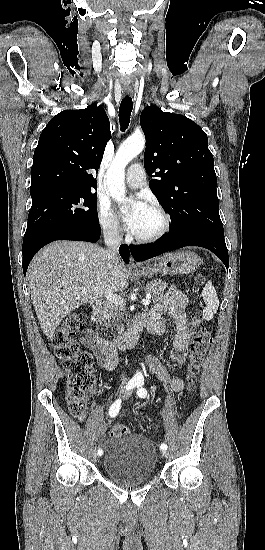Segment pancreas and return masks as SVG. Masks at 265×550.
<instances>
[{
	"mask_svg": "<svg viewBox=\"0 0 265 550\" xmlns=\"http://www.w3.org/2000/svg\"><path fill=\"white\" fill-rule=\"evenodd\" d=\"M167 287V283L162 281H152L147 283L145 287V291L147 293H150L152 295L153 302H158L163 298L164 291ZM125 311V305L122 304H114L112 302H107L103 305V307L100 309V311L97 314L98 322H100L104 326H111V323L114 324V326L117 327L118 333L124 332V325L119 324L121 322V318L124 315Z\"/></svg>",
	"mask_w": 265,
	"mask_h": 550,
	"instance_id": "pancreas-1",
	"label": "pancreas"
}]
</instances>
